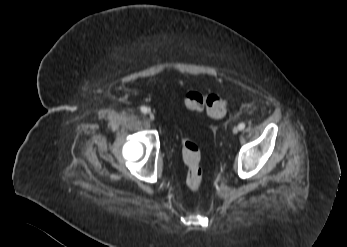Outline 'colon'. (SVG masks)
<instances>
[{"instance_id":"obj_1","label":"colon","mask_w":347,"mask_h":247,"mask_svg":"<svg viewBox=\"0 0 347 247\" xmlns=\"http://www.w3.org/2000/svg\"><path fill=\"white\" fill-rule=\"evenodd\" d=\"M184 103L187 108L194 111L205 109L213 118L222 117L227 110L228 101L216 93L201 94L196 91L186 93ZM182 157L187 166L186 185L190 191L199 190L203 169L201 166V152L198 145L190 138L181 139Z\"/></svg>"}]
</instances>
